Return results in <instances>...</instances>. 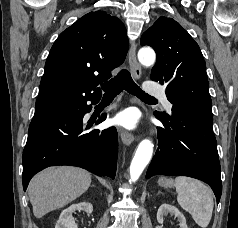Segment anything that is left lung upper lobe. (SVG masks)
<instances>
[{
  "mask_svg": "<svg viewBox=\"0 0 238 228\" xmlns=\"http://www.w3.org/2000/svg\"><path fill=\"white\" fill-rule=\"evenodd\" d=\"M140 43L155 50L157 61L151 79L166 86L173 106L213 118L206 64L188 32L172 18L160 17L142 35Z\"/></svg>",
  "mask_w": 238,
  "mask_h": 228,
  "instance_id": "1",
  "label": "left lung upper lobe"
}]
</instances>
